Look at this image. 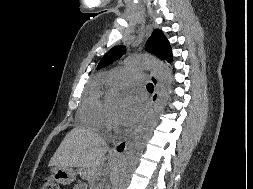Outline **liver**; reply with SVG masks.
I'll use <instances>...</instances> for the list:
<instances>
[{
    "instance_id": "obj_1",
    "label": "liver",
    "mask_w": 253,
    "mask_h": 189,
    "mask_svg": "<svg viewBox=\"0 0 253 189\" xmlns=\"http://www.w3.org/2000/svg\"><path fill=\"white\" fill-rule=\"evenodd\" d=\"M108 148L96 133L81 127L72 129L63 139L49 162V166L78 167L92 189L101 175Z\"/></svg>"
}]
</instances>
